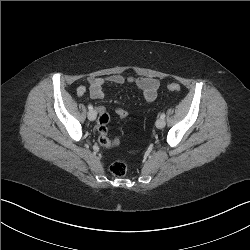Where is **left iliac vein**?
I'll list each match as a JSON object with an SVG mask.
<instances>
[{
	"instance_id": "obj_1",
	"label": "left iliac vein",
	"mask_w": 250,
	"mask_h": 250,
	"mask_svg": "<svg viewBox=\"0 0 250 250\" xmlns=\"http://www.w3.org/2000/svg\"><path fill=\"white\" fill-rule=\"evenodd\" d=\"M165 120L162 119V118H159L157 121H156V127L161 129V128H164L165 127Z\"/></svg>"
}]
</instances>
